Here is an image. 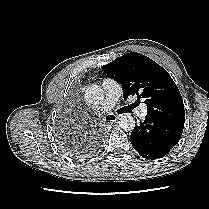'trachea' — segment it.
<instances>
[{
  "label": "trachea",
  "mask_w": 209,
  "mask_h": 209,
  "mask_svg": "<svg viewBox=\"0 0 209 209\" xmlns=\"http://www.w3.org/2000/svg\"><path fill=\"white\" fill-rule=\"evenodd\" d=\"M135 106H136V104L134 103V104H132V105H130L128 107H125L123 112L131 111ZM106 119H110V118L107 116Z\"/></svg>",
  "instance_id": "trachea-1"
}]
</instances>
